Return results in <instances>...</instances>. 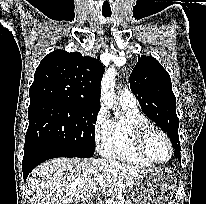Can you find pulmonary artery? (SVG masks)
<instances>
[{"mask_svg":"<svg viewBox=\"0 0 206 204\" xmlns=\"http://www.w3.org/2000/svg\"><path fill=\"white\" fill-rule=\"evenodd\" d=\"M118 98L120 103H124L130 106H137L136 97L128 88L120 89L118 92Z\"/></svg>","mask_w":206,"mask_h":204,"instance_id":"pulmonary-artery-1","label":"pulmonary artery"}]
</instances>
